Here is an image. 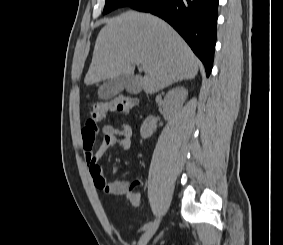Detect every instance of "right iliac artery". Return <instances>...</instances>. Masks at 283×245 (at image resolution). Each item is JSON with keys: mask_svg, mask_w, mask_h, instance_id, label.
Wrapping results in <instances>:
<instances>
[{"mask_svg": "<svg viewBox=\"0 0 283 245\" xmlns=\"http://www.w3.org/2000/svg\"><path fill=\"white\" fill-rule=\"evenodd\" d=\"M152 223H153V222H148V223H146V224L141 228V230H142V231H145V230L149 229V228L151 227Z\"/></svg>", "mask_w": 283, "mask_h": 245, "instance_id": "obj_1", "label": "right iliac artery"}]
</instances>
